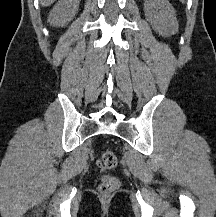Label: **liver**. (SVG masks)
I'll return each mask as SVG.
<instances>
[{
	"label": "liver",
	"mask_w": 216,
	"mask_h": 217,
	"mask_svg": "<svg viewBox=\"0 0 216 217\" xmlns=\"http://www.w3.org/2000/svg\"><path fill=\"white\" fill-rule=\"evenodd\" d=\"M54 2H55V0H40L41 5L45 6V7L51 5Z\"/></svg>",
	"instance_id": "1"
}]
</instances>
